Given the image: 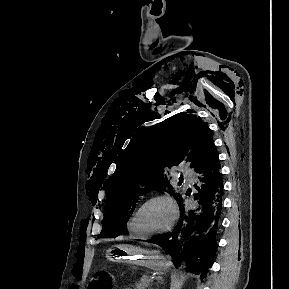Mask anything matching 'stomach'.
Returning a JSON list of instances; mask_svg holds the SVG:
<instances>
[{
    "instance_id": "1",
    "label": "stomach",
    "mask_w": 289,
    "mask_h": 289,
    "mask_svg": "<svg viewBox=\"0 0 289 289\" xmlns=\"http://www.w3.org/2000/svg\"><path fill=\"white\" fill-rule=\"evenodd\" d=\"M106 258L112 262L144 266L158 272L167 268V260L159 252L127 244L112 246L106 250Z\"/></svg>"
}]
</instances>
